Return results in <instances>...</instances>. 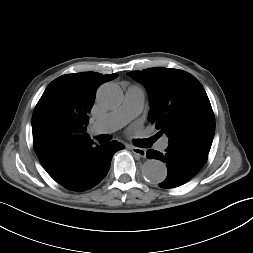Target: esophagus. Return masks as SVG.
<instances>
[{"label": "esophagus", "instance_id": "34e87169", "mask_svg": "<svg viewBox=\"0 0 253 253\" xmlns=\"http://www.w3.org/2000/svg\"><path fill=\"white\" fill-rule=\"evenodd\" d=\"M132 152L142 158L146 157V150L140 147H132L131 148Z\"/></svg>", "mask_w": 253, "mask_h": 253}]
</instances>
